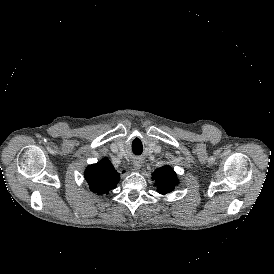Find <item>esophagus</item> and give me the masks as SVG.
Wrapping results in <instances>:
<instances>
[{
    "mask_svg": "<svg viewBox=\"0 0 274 274\" xmlns=\"http://www.w3.org/2000/svg\"><path fill=\"white\" fill-rule=\"evenodd\" d=\"M142 160L141 159H134L133 160V167L135 170H139L142 166Z\"/></svg>",
    "mask_w": 274,
    "mask_h": 274,
    "instance_id": "1",
    "label": "esophagus"
}]
</instances>
